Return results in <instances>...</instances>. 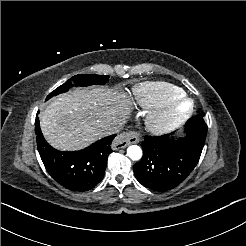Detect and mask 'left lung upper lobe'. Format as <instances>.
Wrapping results in <instances>:
<instances>
[{
  "label": "left lung upper lobe",
  "instance_id": "obj_1",
  "mask_svg": "<svg viewBox=\"0 0 246 246\" xmlns=\"http://www.w3.org/2000/svg\"><path fill=\"white\" fill-rule=\"evenodd\" d=\"M199 116L203 117L204 115L201 113Z\"/></svg>",
  "mask_w": 246,
  "mask_h": 246
}]
</instances>
